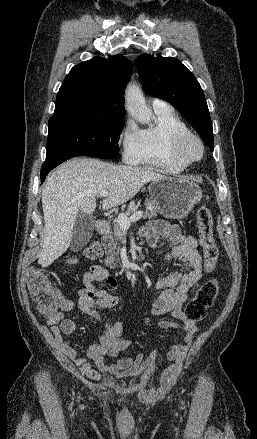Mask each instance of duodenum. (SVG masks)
<instances>
[{
    "mask_svg": "<svg viewBox=\"0 0 257 439\" xmlns=\"http://www.w3.org/2000/svg\"><path fill=\"white\" fill-rule=\"evenodd\" d=\"M97 229H98V232H99L101 235H105V234H107L108 231H109V223H108L107 221H105V220H99V221L97 222ZM130 269H131V266H130V265H128V266L125 268L126 271H128V270H130Z\"/></svg>",
    "mask_w": 257,
    "mask_h": 439,
    "instance_id": "410a0bca",
    "label": "duodenum"
}]
</instances>
